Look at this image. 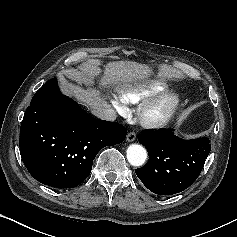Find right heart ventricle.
I'll return each mask as SVG.
<instances>
[{
  "mask_svg": "<svg viewBox=\"0 0 237 237\" xmlns=\"http://www.w3.org/2000/svg\"><path fill=\"white\" fill-rule=\"evenodd\" d=\"M163 90V87L158 84H152L144 87H137L126 91L122 95V99L128 103H138L139 101L156 94Z\"/></svg>",
  "mask_w": 237,
  "mask_h": 237,
  "instance_id": "right-heart-ventricle-1",
  "label": "right heart ventricle"
}]
</instances>
